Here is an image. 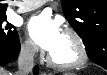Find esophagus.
<instances>
[{
	"instance_id": "1",
	"label": "esophagus",
	"mask_w": 107,
	"mask_h": 75,
	"mask_svg": "<svg viewBox=\"0 0 107 75\" xmlns=\"http://www.w3.org/2000/svg\"><path fill=\"white\" fill-rule=\"evenodd\" d=\"M42 75H47L46 73H42Z\"/></svg>"
}]
</instances>
